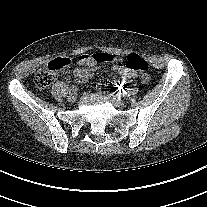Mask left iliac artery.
<instances>
[{"label":"left iliac artery","mask_w":207,"mask_h":207,"mask_svg":"<svg viewBox=\"0 0 207 207\" xmlns=\"http://www.w3.org/2000/svg\"><path fill=\"white\" fill-rule=\"evenodd\" d=\"M117 96L121 97V98H124L125 97V93L124 92L122 93L121 91H118L117 92Z\"/></svg>","instance_id":"left-iliac-artery-1"}]
</instances>
